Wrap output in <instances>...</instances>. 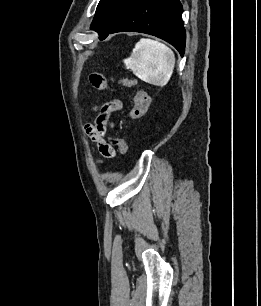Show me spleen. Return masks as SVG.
<instances>
[{
	"label": "spleen",
	"mask_w": 261,
	"mask_h": 306,
	"mask_svg": "<svg viewBox=\"0 0 261 306\" xmlns=\"http://www.w3.org/2000/svg\"><path fill=\"white\" fill-rule=\"evenodd\" d=\"M127 69L146 83L165 86L175 66L174 52L165 44L142 38L130 57L123 60Z\"/></svg>",
	"instance_id": "obj_1"
}]
</instances>
